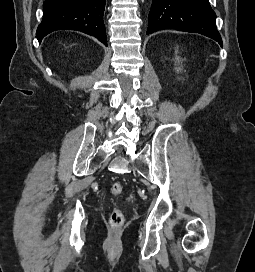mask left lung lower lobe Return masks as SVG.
<instances>
[{
	"mask_svg": "<svg viewBox=\"0 0 255 272\" xmlns=\"http://www.w3.org/2000/svg\"><path fill=\"white\" fill-rule=\"evenodd\" d=\"M215 19L216 14L208 0H153L147 34L164 29L195 32L222 46Z\"/></svg>",
	"mask_w": 255,
	"mask_h": 272,
	"instance_id": "1",
	"label": "left lung lower lobe"
}]
</instances>
